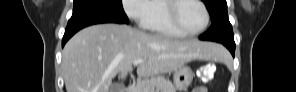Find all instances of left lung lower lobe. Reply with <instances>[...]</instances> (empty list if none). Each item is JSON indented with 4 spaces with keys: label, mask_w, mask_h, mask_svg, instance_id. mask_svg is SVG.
Wrapping results in <instances>:
<instances>
[{
    "label": "left lung lower lobe",
    "mask_w": 296,
    "mask_h": 92,
    "mask_svg": "<svg viewBox=\"0 0 296 92\" xmlns=\"http://www.w3.org/2000/svg\"><path fill=\"white\" fill-rule=\"evenodd\" d=\"M199 39L204 40L202 35L199 37ZM222 44L225 45L229 49V51L231 52V54L234 57V55H235V42H222Z\"/></svg>",
    "instance_id": "1"
}]
</instances>
